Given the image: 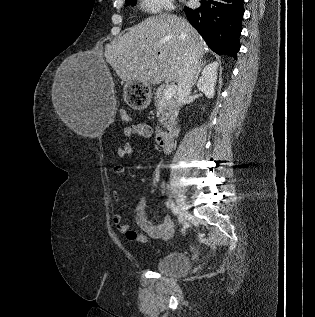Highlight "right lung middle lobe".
<instances>
[{
	"label": "right lung middle lobe",
	"mask_w": 315,
	"mask_h": 317,
	"mask_svg": "<svg viewBox=\"0 0 315 317\" xmlns=\"http://www.w3.org/2000/svg\"><path fill=\"white\" fill-rule=\"evenodd\" d=\"M125 1H126V5L135 6L137 0H125Z\"/></svg>",
	"instance_id": "dd1d6c3e"
}]
</instances>
